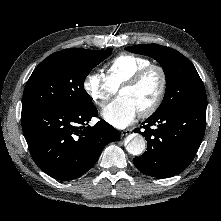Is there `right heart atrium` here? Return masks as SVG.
I'll use <instances>...</instances> for the list:
<instances>
[{
	"label": "right heart atrium",
	"mask_w": 221,
	"mask_h": 221,
	"mask_svg": "<svg viewBox=\"0 0 221 221\" xmlns=\"http://www.w3.org/2000/svg\"><path fill=\"white\" fill-rule=\"evenodd\" d=\"M82 86L90 100L99 107H103L117 90L106 75L99 71L88 72Z\"/></svg>",
	"instance_id": "right-heart-atrium-1"
}]
</instances>
